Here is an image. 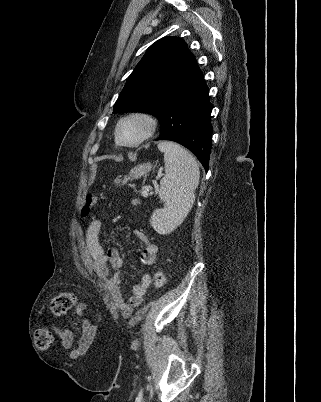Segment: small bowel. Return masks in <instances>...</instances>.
I'll use <instances>...</instances> for the list:
<instances>
[{
  "label": "small bowel",
  "instance_id": "c3829d8e",
  "mask_svg": "<svg viewBox=\"0 0 321 402\" xmlns=\"http://www.w3.org/2000/svg\"><path fill=\"white\" fill-rule=\"evenodd\" d=\"M101 230V221L97 218L91 220L87 228V240L91 250L93 260V269L95 273L104 278L107 282L110 295L117 309L124 318L131 316L134 308L139 307L144 301V295L150 285V276L144 273L141 281L133 286L132 295L129 301L124 299L121 289V277L119 269L123 264V256L120 250L115 246H105L99 239ZM137 236L144 242L145 247L139 253V262L144 267L154 264L158 248L152 243L142 231H136ZM78 313L84 310L85 305L82 302L77 303ZM84 334H80V344H74L72 334L68 328L52 325V329L60 339L63 347L69 350V357L85 358L87 347L93 345L92 336L96 335L97 328L92 320H85L83 323Z\"/></svg>",
  "mask_w": 321,
  "mask_h": 402
}]
</instances>
